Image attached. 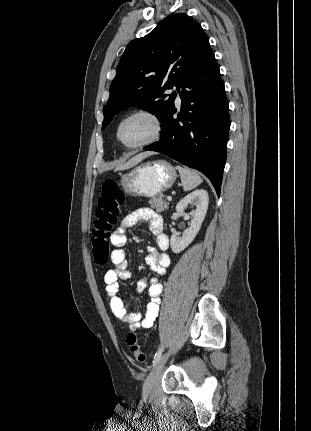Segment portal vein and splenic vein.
<instances>
[{
	"mask_svg": "<svg viewBox=\"0 0 311 431\" xmlns=\"http://www.w3.org/2000/svg\"><path fill=\"white\" fill-rule=\"evenodd\" d=\"M167 200H168V202H171L172 196H168Z\"/></svg>",
	"mask_w": 311,
	"mask_h": 431,
	"instance_id": "1",
	"label": "portal vein and splenic vein"
}]
</instances>
